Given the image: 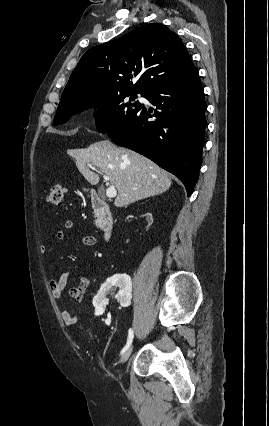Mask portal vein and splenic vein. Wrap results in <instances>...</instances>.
Segmentation results:
<instances>
[{
	"label": "portal vein and splenic vein",
	"mask_w": 269,
	"mask_h": 426,
	"mask_svg": "<svg viewBox=\"0 0 269 426\" xmlns=\"http://www.w3.org/2000/svg\"><path fill=\"white\" fill-rule=\"evenodd\" d=\"M89 167H90L91 169H93V170H96V168H95V167H93L92 165H89ZM103 178H104V180H105L106 182H108V181H109V178H108L106 175H103ZM106 196H107L108 198H114V197H116V196H117V191H116V189H115L114 185H110V186L106 189Z\"/></svg>",
	"instance_id": "portal-vein-and-splenic-vein-1"
}]
</instances>
